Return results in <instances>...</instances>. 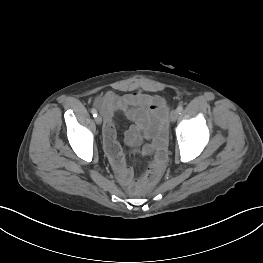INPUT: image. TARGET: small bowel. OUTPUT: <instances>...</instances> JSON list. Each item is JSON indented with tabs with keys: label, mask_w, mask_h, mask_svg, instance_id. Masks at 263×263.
Listing matches in <instances>:
<instances>
[{
	"label": "small bowel",
	"mask_w": 263,
	"mask_h": 263,
	"mask_svg": "<svg viewBox=\"0 0 263 263\" xmlns=\"http://www.w3.org/2000/svg\"><path fill=\"white\" fill-rule=\"evenodd\" d=\"M95 105L104 117V147L111 165L126 187H131L133 172L126 164L124 152L117 141L114 115L124 113L135 125L126 133V142L132 147H140L145 155H153L150 168L162 169L166 162L167 107L158 95L139 92L119 95L109 91L95 99ZM142 132V135H141ZM145 139L146 143L142 144Z\"/></svg>",
	"instance_id": "1"
}]
</instances>
